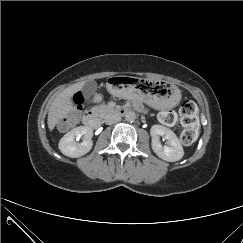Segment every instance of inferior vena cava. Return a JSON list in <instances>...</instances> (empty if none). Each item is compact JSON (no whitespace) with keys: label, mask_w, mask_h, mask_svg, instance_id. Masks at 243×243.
<instances>
[{"label":"inferior vena cava","mask_w":243,"mask_h":243,"mask_svg":"<svg viewBox=\"0 0 243 243\" xmlns=\"http://www.w3.org/2000/svg\"><path fill=\"white\" fill-rule=\"evenodd\" d=\"M120 120H121V116L117 113H109L105 116V119H104V121L107 125H112L114 123L119 122Z\"/></svg>","instance_id":"602c4592"}]
</instances>
